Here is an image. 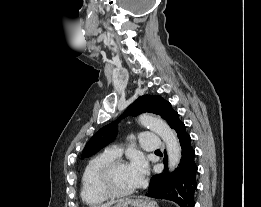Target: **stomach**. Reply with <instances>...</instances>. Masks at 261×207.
I'll use <instances>...</instances> for the list:
<instances>
[{"label": "stomach", "instance_id": "0dacf381", "mask_svg": "<svg viewBox=\"0 0 261 207\" xmlns=\"http://www.w3.org/2000/svg\"><path fill=\"white\" fill-rule=\"evenodd\" d=\"M113 207H158L155 201L141 198V199H131L127 198L115 204Z\"/></svg>", "mask_w": 261, "mask_h": 207}]
</instances>
